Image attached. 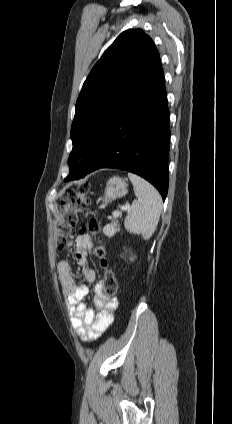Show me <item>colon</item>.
Returning a JSON list of instances; mask_svg holds the SVG:
<instances>
[{
    "label": "colon",
    "instance_id": "colon-1",
    "mask_svg": "<svg viewBox=\"0 0 232 424\" xmlns=\"http://www.w3.org/2000/svg\"><path fill=\"white\" fill-rule=\"evenodd\" d=\"M89 186L84 184L79 188H68L64 191L60 205V217L57 226L58 247L63 248L66 239L72 234L79 215L90 206L88 196ZM99 225L96 219L91 218L84 222L79 230V235H90L94 243V254L99 259L100 267L104 270L102 289L104 296H114L118 290V282L114 272L110 269L106 258V250L99 243L97 234Z\"/></svg>",
    "mask_w": 232,
    "mask_h": 424
}]
</instances>
